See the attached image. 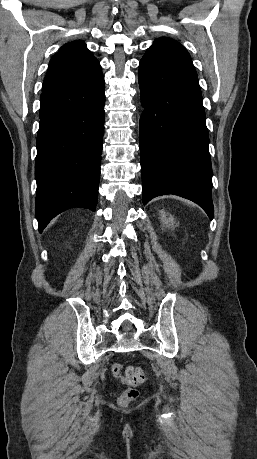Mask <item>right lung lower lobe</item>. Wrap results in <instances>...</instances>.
<instances>
[{"instance_id":"right-lung-lower-lobe-1","label":"right lung lower lobe","mask_w":257,"mask_h":459,"mask_svg":"<svg viewBox=\"0 0 257 459\" xmlns=\"http://www.w3.org/2000/svg\"><path fill=\"white\" fill-rule=\"evenodd\" d=\"M104 105L102 74L75 86L42 92L35 165V216L40 232L69 208L95 211Z\"/></svg>"}]
</instances>
